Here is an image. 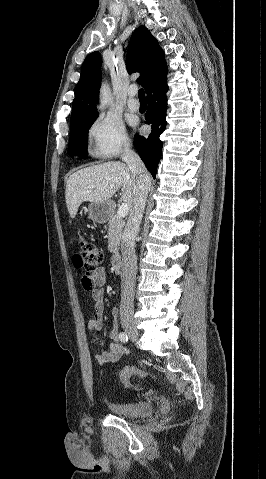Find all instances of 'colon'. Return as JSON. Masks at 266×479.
I'll use <instances>...</instances> for the list:
<instances>
[{
	"label": "colon",
	"mask_w": 266,
	"mask_h": 479,
	"mask_svg": "<svg viewBox=\"0 0 266 479\" xmlns=\"http://www.w3.org/2000/svg\"><path fill=\"white\" fill-rule=\"evenodd\" d=\"M102 258L103 253L99 246L85 239L80 240L79 245L73 255V263L78 270L83 272L82 284L86 290L93 288V282L90 279V274L97 268ZM135 374H138L141 377L150 376L149 373L139 370L135 367H125L120 372V379L127 388L132 387L130 379Z\"/></svg>",
	"instance_id": "5ec220e1"
}]
</instances>
